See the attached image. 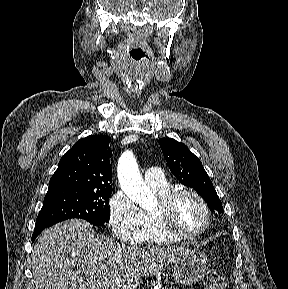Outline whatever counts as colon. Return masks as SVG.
<instances>
[{"label":"colon","mask_w":288,"mask_h":289,"mask_svg":"<svg viewBox=\"0 0 288 289\" xmlns=\"http://www.w3.org/2000/svg\"><path fill=\"white\" fill-rule=\"evenodd\" d=\"M203 281L206 289H226L224 278L214 269L205 271Z\"/></svg>","instance_id":"colon-1"}]
</instances>
